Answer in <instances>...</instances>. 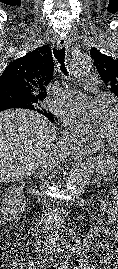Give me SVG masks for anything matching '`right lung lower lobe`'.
Wrapping results in <instances>:
<instances>
[{
    "label": "right lung lower lobe",
    "mask_w": 118,
    "mask_h": 269,
    "mask_svg": "<svg viewBox=\"0 0 118 269\" xmlns=\"http://www.w3.org/2000/svg\"><path fill=\"white\" fill-rule=\"evenodd\" d=\"M11 108H26V109H30V108L22 106V105L9 104V105L0 106V112L4 111V110H7V109H11Z\"/></svg>",
    "instance_id": "98d812e1"
}]
</instances>
